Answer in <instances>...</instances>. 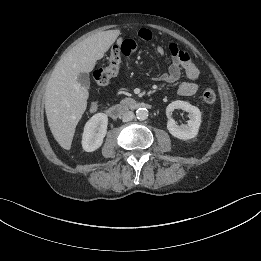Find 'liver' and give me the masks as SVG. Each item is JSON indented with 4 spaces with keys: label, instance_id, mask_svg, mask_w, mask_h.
Here are the masks:
<instances>
[{
    "label": "liver",
    "instance_id": "1",
    "mask_svg": "<svg viewBox=\"0 0 261 261\" xmlns=\"http://www.w3.org/2000/svg\"><path fill=\"white\" fill-rule=\"evenodd\" d=\"M119 35L118 29L99 32L73 47L55 66L45 90V111L50 130L64 149L70 148L87 107L89 92L77 78L94 69Z\"/></svg>",
    "mask_w": 261,
    "mask_h": 261
}]
</instances>
